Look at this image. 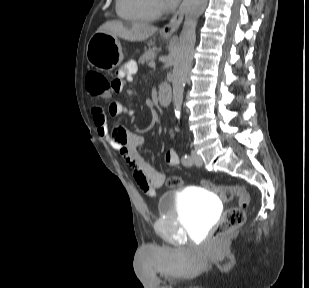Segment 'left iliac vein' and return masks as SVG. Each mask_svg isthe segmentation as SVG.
I'll use <instances>...</instances> for the list:
<instances>
[{
	"label": "left iliac vein",
	"instance_id": "4c4485c4",
	"mask_svg": "<svg viewBox=\"0 0 309 288\" xmlns=\"http://www.w3.org/2000/svg\"><path fill=\"white\" fill-rule=\"evenodd\" d=\"M191 158L192 163L195 164L196 166H201L203 164L201 156L195 150L191 152Z\"/></svg>",
	"mask_w": 309,
	"mask_h": 288
}]
</instances>
